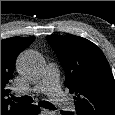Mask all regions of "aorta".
Instances as JSON below:
<instances>
[{
	"label": "aorta",
	"instance_id": "obj_1",
	"mask_svg": "<svg viewBox=\"0 0 115 115\" xmlns=\"http://www.w3.org/2000/svg\"><path fill=\"white\" fill-rule=\"evenodd\" d=\"M17 69L19 73L27 79H38L44 69V61L42 57L34 51L23 52L17 61ZM50 115H55L50 112Z\"/></svg>",
	"mask_w": 115,
	"mask_h": 115
}]
</instances>
